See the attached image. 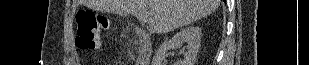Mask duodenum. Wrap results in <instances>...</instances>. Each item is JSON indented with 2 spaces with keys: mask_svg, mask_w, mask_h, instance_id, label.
<instances>
[{
  "mask_svg": "<svg viewBox=\"0 0 309 65\" xmlns=\"http://www.w3.org/2000/svg\"><path fill=\"white\" fill-rule=\"evenodd\" d=\"M136 44L138 46V65H149L152 58V41L148 33L142 31L136 33Z\"/></svg>",
  "mask_w": 309,
  "mask_h": 65,
  "instance_id": "410a0bca",
  "label": "duodenum"
}]
</instances>
